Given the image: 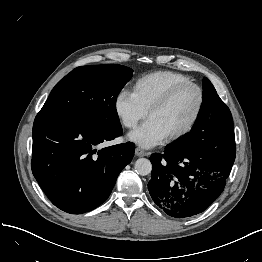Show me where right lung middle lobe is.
<instances>
[{
	"label": "right lung middle lobe",
	"instance_id": "dd1d6c3e",
	"mask_svg": "<svg viewBox=\"0 0 262 262\" xmlns=\"http://www.w3.org/2000/svg\"><path fill=\"white\" fill-rule=\"evenodd\" d=\"M132 73L117 64L77 67L56 84L41 111L73 115L100 127L119 126L116 99Z\"/></svg>",
	"mask_w": 262,
	"mask_h": 262
}]
</instances>
